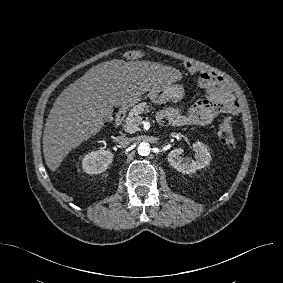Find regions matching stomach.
Wrapping results in <instances>:
<instances>
[{
  "label": "stomach",
  "mask_w": 283,
  "mask_h": 283,
  "mask_svg": "<svg viewBox=\"0 0 283 283\" xmlns=\"http://www.w3.org/2000/svg\"><path fill=\"white\" fill-rule=\"evenodd\" d=\"M184 97V89L181 85L163 84L158 88L150 90L146 95L130 102V105L137 103L142 99H149L156 104H164L166 102H178Z\"/></svg>",
  "instance_id": "0dacf381"
}]
</instances>
